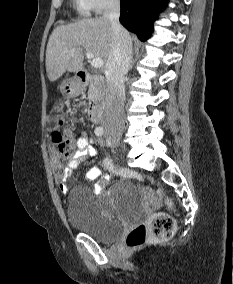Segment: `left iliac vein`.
Returning <instances> with one entry per match:
<instances>
[{"label":"left iliac vein","mask_w":233,"mask_h":284,"mask_svg":"<svg viewBox=\"0 0 233 284\" xmlns=\"http://www.w3.org/2000/svg\"><path fill=\"white\" fill-rule=\"evenodd\" d=\"M108 144L111 145L112 147H117L118 145V143L114 140V138H109Z\"/></svg>","instance_id":"left-iliac-vein-1"}]
</instances>
